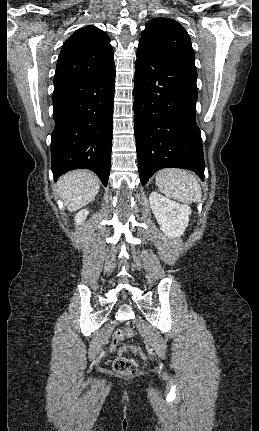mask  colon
Wrapping results in <instances>:
<instances>
[{
	"mask_svg": "<svg viewBox=\"0 0 259 431\" xmlns=\"http://www.w3.org/2000/svg\"><path fill=\"white\" fill-rule=\"evenodd\" d=\"M134 335L133 329L129 326H124L118 329L112 339V347L115 348L121 341L129 339ZM129 350L128 347L123 346L119 349V356L113 362L115 372L120 375H134L138 371V363L125 355ZM133 351L136 352L141 358H146V354L140 347H134Z\"/></svg>",
	"mask_w": 259,
	"mask_h": 431,
	"instance_id": "1",
	"label": "colon"
}]
</instances>
